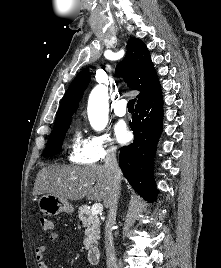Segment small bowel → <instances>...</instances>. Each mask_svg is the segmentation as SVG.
Listing matches in <instances>:
<instances>
[{
    "label": "small bowel",
    "mask_w": 221,
    "mask_h": 268,
    "mask_svg": "<svg viewBox=\"0 0 221 268\" xmlns=\"http://www.w3.org/2000/svg\"><path fill=\"white\" fill-rule=\"evenodd\" d=\"M48 237L50 241L55 242L58 241L62 236L57 232H51ZM46 252V245H40L35 249V257L38 261V268H49V265L45 261Z\"/></svg>",
    "instance_id": "obj_1"
}]
</instances>
